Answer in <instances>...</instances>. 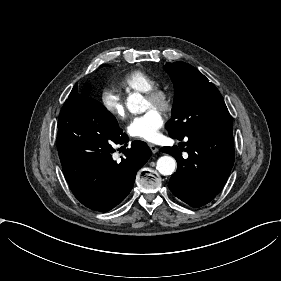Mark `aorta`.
<instances>
[{"label": "aorta", "mask_w": 281, "mask_h": 281, "mask_svg": "<svg viewBox=\"0 0 281 281\" xmlns=\"http://www.w3.org/2000/svg\"><path fill=\"white\" fill-rule=\"evenodd\" d=\"M127 108L133 114H139L146 110V101L139 93L130 94L127 97ZM156 169L160 174L172 175L176 169V161L171 156H162L158 159Z\"/></svg>", "instance_id": "1"}]
</instances>
